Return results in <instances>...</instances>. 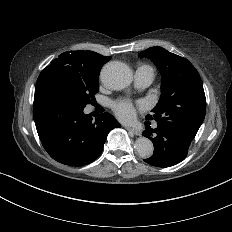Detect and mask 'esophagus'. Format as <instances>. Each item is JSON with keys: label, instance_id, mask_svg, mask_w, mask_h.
I'll return each mask as SVG.
<instances>
[{"label": "esophagus", "instance_id": "34e87169", "mask_svg": "<svg viewBox=\"0 0 232 232\" xmlns=\"http://www.w3.org/2000/svg\"><path fill=\"white\" fill-rule=\"evenodd\" d=\"M128 131L132 132L134 135H139L140 134V131L134 129V128H130V127H127L126 128Z\"/></svg>", "mask_w": 232, "mask_h": 232}]
</instances>
